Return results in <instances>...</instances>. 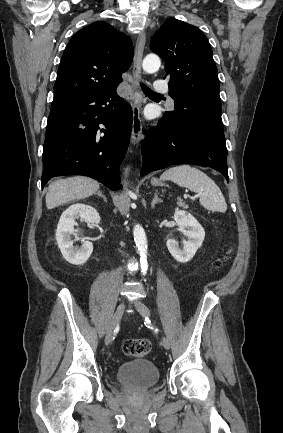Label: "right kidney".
<instances>
[{"mask_svg": "<svg viewBox=\"0 0 283 433\" xmlns=\"http://www.w3.org/2000/svg\"><path fill=\"white\" fill-rule=\"evenodd\" d=\"M78 218L89 225H98L101 220L95 208L80 203L73 204L60 217L56 230V240L66 261L74 265H83L91 256L93 245L89 241H84L80 248L73 246L71 235H75V240H79L74 230L75 220Z\"/></svg>", "mask_w": 283, "mask_h": 433, "instance_id": "right-kidney-1", "label": "right kidney"}]
</instances>
